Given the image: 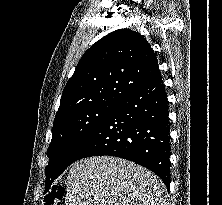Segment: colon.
I'll return each instance as SVG.
<instances>
[{"label":"colon","mask_w":222,"mask_h":205,"mask_svg":"<svg viewBox=\"0 0 222 205\" xmlns=\"http://www.w3.org/2000/svg\"><path fill=\"white\" fill-rule=\"evenodd\" d=\"M65 189L61 185H56L51 192L46 195L45 205H63Z\"/></svg>","instance_id":"5ec220e1"}]
</instances>
